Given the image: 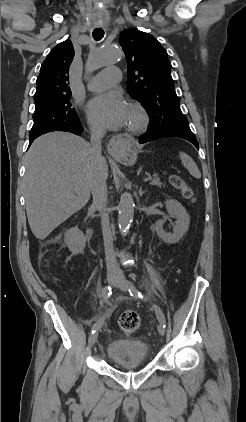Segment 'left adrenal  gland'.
<instances>
[{"label": "left adrenal gland", "instance_id": "left-adrenal-gland-1", "mask_svg": "<svg viewBox=\"0 0 246 422\" xmlns=\"http://www.w3.org/2000/svg\"><path fill=\"white\" fill-rule=\"evenodd\" d=\"M144 193H145V191H143V190H142V187H140V190H139V196H142Z\"/></svg>", "mask_w": 246, "mask_h": 422}]
</instances>
